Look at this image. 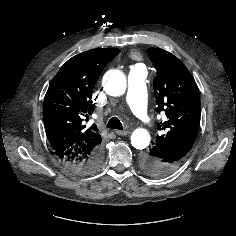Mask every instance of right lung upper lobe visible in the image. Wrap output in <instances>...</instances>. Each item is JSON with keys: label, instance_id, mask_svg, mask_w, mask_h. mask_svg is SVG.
<instances>
[{"label": "right lung upper lobe", "instance_id": "obj_1", "mask_svg": "<svg viewBox=\"0 0 236 236\" xmlns=\"http://www.w3.org/2000/svg\"><path fill=\"white\" fill-rule=\"evenodd\" d=\"M119 51L107 48L80 53L69 59L50 83L43 121L50 145L62 162L83 161L101 147L97 126L86 122L94 111L91 99L99 75Z\"/></svg>", "mask_w": 236, "mask_h": 236}]
</instances>
